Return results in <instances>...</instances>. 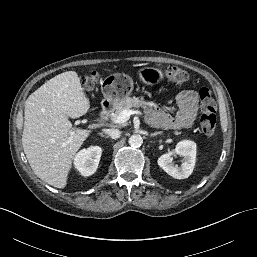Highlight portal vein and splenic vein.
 Returning <instances> with one entry per match:
<instances>
[{"label": "portal vein and splenic vein", "mask_w": 257, "mask_h": 257, "mask_svg": "<svg viewBox=\"0 0 257 257\" xmlns=\"http://www.w3.org/2000/svg\"><path fill=\"white\" fill-rule=\"evenodd\" d=\"M131 115H142L141 111L138 110H123L116 118L112 119L114 124H123L129 120ZM99 125H92L93 127H98Z\"/></svg>", "instance_id": "18ae733b"}]
</instances>
